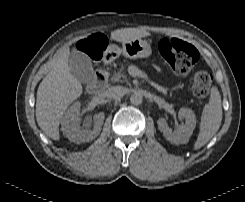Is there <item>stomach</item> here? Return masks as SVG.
I'll list each match as a JSON object with an SVG mask.
<instances>
[{
    "instance_id": "1",
    "label": "stomach",
    "mask_w": 245,
    "mask_h": 202,
    "mask_svg": "<svg viewBox=\"0 0 245 202\" xmlns=\"http://www.w3.org/2000/svg\"><path fill=\"white\" fill-rule=\"evenodd\" d=\"M114 57H118L121 53L130 59L148 58L152 54L150 44L141 38H136L122 43V47L111 45L109 47Z\"/></svg>"
}]
</instances>
